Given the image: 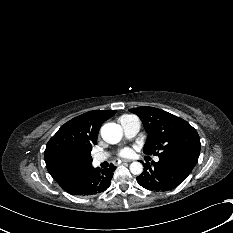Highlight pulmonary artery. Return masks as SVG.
<instances>
[{
  "instance_id": "pulmonary-artery-1",
  "label": "pulmonary artery",
  "mask_w": 233,
  "mask_h": 233,
  "mask_svg": "<svg viewBox=\"0 0 233 233\" xmlns=\"http://www.w3.org/2000/svg\"><path fill=\"white\" fill-rule=\"evenodd\" d=\"M120 125L128 138L134 137L140 130L141 124L140 120L134 116L123 117L119 120ZM108 158V153H98L93 157V163L95 165L100 164ZM159 160L158 157H155V161Z\"/></svg>"
}]
</instances>
